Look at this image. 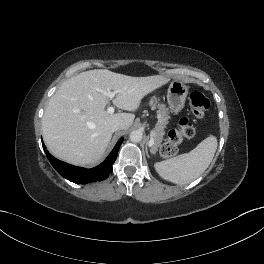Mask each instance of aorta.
I'll return each instance as SVG.
<instances>
[{
  "mask_svg": "<svg viewBox=\"0 0 264 264\" xmlns=\"http://www.w3.org/2000/svg\"><path fill=\"white\" fill-rule=\"evenodd\" d=\"M142 135L140 130H134L130 133V140L134 143H138L142 140Z\"/></svg>",
  "mask_w": 264,
  "mask_h": 264,
  "instance_id": "obj_1",
  "label": "aorta"
}]
</instances>
